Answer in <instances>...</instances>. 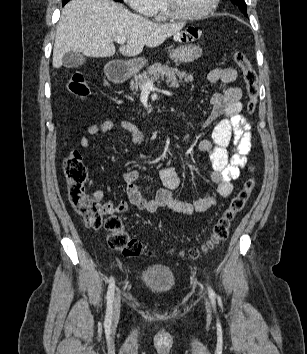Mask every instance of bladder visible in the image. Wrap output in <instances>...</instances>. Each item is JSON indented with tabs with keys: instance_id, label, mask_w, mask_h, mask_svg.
<instances>
[{
	"instance_id": "bladder-1",
	"label": "bladder",
	"mask_w": 307,
	"mask_h": 354,
	"mask_svg": "<svg viewBox=\"0 0 307 354\" xmlns=\"http://www.w3.org/2000/svg\"><path fill=\"white\" fill-rule=\"evenodd\" d=\"M140 279L146 287L159 293L170 291L176 284L174 271L163 264L148 266L141 272Z\"/></svg>"
}]
</instances>
